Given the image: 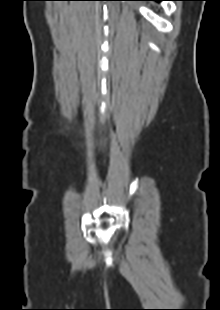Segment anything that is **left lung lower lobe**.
<instances>
[{
  "label": "left lung lower lobe",
  "instance_id": "0a47b994",
  "mask_svg": "<svg viewBox=\"0 0 220 310\" xmlns=\"http://www.w3.org/2000/svg\"><path fill=\"white\" fill-rule=\"evenodd\" d=\"M149 1H157V2H161V1H168V0H149Z\"/></svg>",
  "mask_w": 220,
  "mask_h": 310
}]
</instances>
